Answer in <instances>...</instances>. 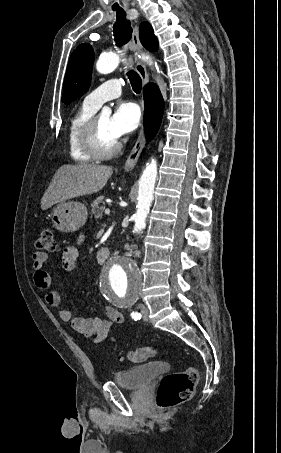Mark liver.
<instances>
[{"mask_svg": "<svg viewBox=\"0 0 281 453\" xmlns=\"http://www.w3.org/2000/svg\"><path fill=\"white\" fill-rule=\"evenodd\" d=\"M112 172L113 166H105V164H89V162L63 164L55 172L41 198L42 210H47L52 204L64 202L68 198L99 192Z\"/></svg>", "mask_w": 281, "mask_h": 453, "instance_id": "obj_1", "label": "liver"}]
</instances>
